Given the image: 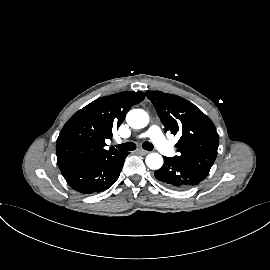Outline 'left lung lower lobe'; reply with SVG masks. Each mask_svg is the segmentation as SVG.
<instances>
[{
  "mask_svg": "<svg viewBox=\"0 0 270 270\" xmlns=\"http://www.w3.org/2000/svg\"><path fill=\"white\" fill-rule=\"evenodd\" d=\"M164 164L156 170L155 177L175 189H188L204 180L208 172H205L196 166L177 160L175 157H163Z\"/></svg>",
  "mask_w": 270,
  "mask_h": 270,
  "instance_id": "left-lung-lower-lobe-1",
  "label": "left lung lower lobe"
}]
</instances>
